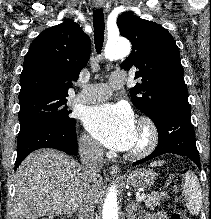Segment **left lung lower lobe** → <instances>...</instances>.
I'll return each instance as SVG.
<instances>
[{"label":"left lung lower lobe","instance_id":"obj_1","mask_svg":"<svg viewBox=\"0 0 211 219\" xmlns=\"http://www.w3.org/2000/svg\"><path fill=\"white\" fill-rule=\"evenodd\" d=\"M189 104H170L163 107L153 119L158 130V146L147 157L133 163H144L165 153L186 156L200 168L195 132L190 121Z\"/></svg>","mask_w":211,"mask_h":219}]
</instances>
